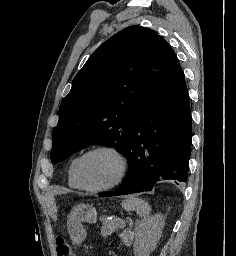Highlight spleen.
Listing matches in <instances>:
<instances>
[{"instance_id":"obj_1","label":"spleen","mask_w":236,"mask_h":256,"mask_svg":"<svg viewBox=\"0 0 236 256\" xmlns=\"http://www.w3.org/2000/svg\"><path fill=\"white\" fill-rule=\"evenodd\" d=\"M122 208H124L126 212H132V210H135L138 216H146L150 210L147 202L139 200V198H134V196H130L128 200H123Z\"/></svg>"}]
</instances>
